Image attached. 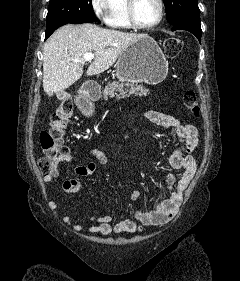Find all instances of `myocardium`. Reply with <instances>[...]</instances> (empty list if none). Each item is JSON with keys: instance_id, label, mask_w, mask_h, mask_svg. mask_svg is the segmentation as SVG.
<instances>
[{"instance_id": "1", "label": "myocardium", "mask_w": 240, "mask_h": 281, "mask_svg": "<svg viewBox=\"0 0 240 281\" xmlns=\"http://www.w3.org/2000/svg\"><path fill=\"white\" fill-rule=\"evenodd\" d=\"M136 0H127V14H128V20L131 25V27L140 29V30H148L157 27L161 24L164 18L165 14V3L164 0H157L159 4V15L155 22L151 24H141L138 22L136 17Z\"/></svg>"}]
</instances>
